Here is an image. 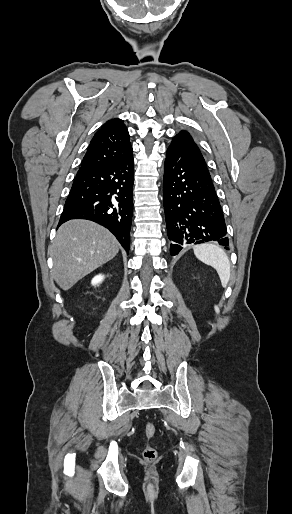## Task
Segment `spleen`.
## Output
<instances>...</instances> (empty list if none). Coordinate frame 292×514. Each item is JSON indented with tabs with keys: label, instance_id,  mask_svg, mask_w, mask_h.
Listing matches in <instances>:
<instances>
[{
	"label": "spleen",
	"instance_id": "obj_1",
	"mask_svg": "<svg viewBox=\"0 0 292 514\" xmlns=\"http://www.w3.org/2000/svg\"><path fill=\"white\" fill-rule=\"evenodd\" d=\"M193 250L198 260L215 268L223 288H226L230 280V262L224 250L214 244H199L194 246Z\"/></svg>",
	"mask_w": 292,
	"mask_h": 514
}]
</instances>
